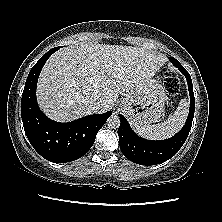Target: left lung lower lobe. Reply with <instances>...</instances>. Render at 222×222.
I'll list each match as a JSON object with an SVG mask.
<instances>
[{
	"mask_svg": "<svg viewBox=\"0 0 222 222\" xmlns=\"http://www.w3.org/2000/svg\"><path fill=\"white\" fill-rule=\"evenodd\" d=\"M170 61L186 77L188 83L190 110L183 128L176 135L166 140H146L136 135L125 117L119 115L121 120L120 127L118 128L120 149L127 159L140 165H156L173 157L182 147L191 130L195 110L191 76L178 60L171 57Z\"/></svg>",
	"mask_w": 222,
	"mask_h": 222,
	"instance_id": "obj_1",
	"label": "left lung lower lobe"
}]
</instances>
